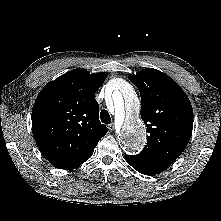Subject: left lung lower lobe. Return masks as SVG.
<instances>
[{"instance_id":"0a47b994","label":"left lung lower lobe","mask_w":221,"mask_h":221,"mask_svg":"<svg viewBox=\"0 0 221 221\" xmlns=\"http://www.w3.org/2000/svg\"><path fill=\"white\" fill-rule=\"evenodd\" d=\"M125 160L135 170L145 175L159 174L169 166L160 161L142 157L140 155H125Z\"/></svg>"}]
</instances>
